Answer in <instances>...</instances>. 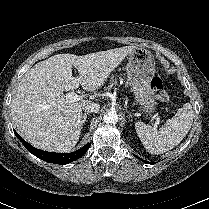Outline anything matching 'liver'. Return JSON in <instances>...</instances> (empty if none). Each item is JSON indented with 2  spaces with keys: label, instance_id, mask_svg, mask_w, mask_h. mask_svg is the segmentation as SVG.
Listing matches in <instances>:
<instances>
[{
  "label": "liver",
  "instance_id": "obj_1",
  "mask_svg": "<svg viewBox=\"0 0 209 209\" xmlns=\"http://www.w3.org/2000/svg\"><path fill=\"white\" fill-rule=\"evenodd\" d=\"M135 46L82 56L57 54L35 64L22 78L11 102L12 121L20 135L38 149L68 152L82 130V106L87 100L68 102L64 91L82 86L100 88L110 73ZM72 66L79 77L72 75Z\"/></svg>",
  "mask_w": 209,
  "mask_h": 209
}]
</instances>
